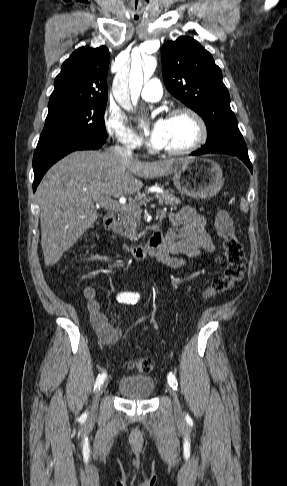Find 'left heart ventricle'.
<instances>
[{
    "instance_id": "left-heart-ventricle-1",
    "label": "left heart ventricle",
    "mask_w": 287,
    "mask_h": 486,
    "mask_svg": "<svg viewBox=\"0 0 287 486\" xmlns=\"http://www.w3.org/2000/svg\"><path fill=\"white\" fill-rule=\"evenodd\" d=\"M197 136L194 121L187 116L165 120L162 149H175L190 145Z\"/></svg>"
}]
</instances>
